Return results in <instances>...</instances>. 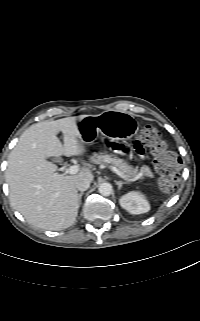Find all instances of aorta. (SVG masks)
<instances>
[{
  "mask_svg": "<svg viewBox=\"0 0 200 321\" xmlns=\"http://www.w3.org/2000/svg\"><path fill=\"white\" fill-rule=\"evenodd\" d=\"M99 193L102 196H109L112 193V185L110 183H102L98 188Z\"/></svg>",
  "mask_w": 200,
  "mask_h": 321,
  "instance_id": "1",
  "label": "aorta"
}]
</instances>
